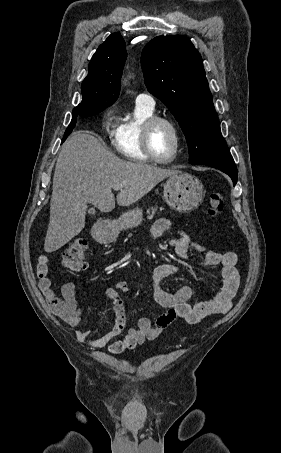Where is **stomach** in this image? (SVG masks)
<instances>
[{
    "label": "stomach",
    "instance_id": "stomach-1",
    "mask_svg": "<svg viewBox=\"0 0 281 453\" xmlns=\"http://www.w3.org/2000/svg\"><path fill=\"white\" fill-rule=\"evenodd\" d=\"M164 198L173 210L178 212H190L192 208H197L202 202L205 192L202 182L197 176L188 172H179L169 176L164 184ZM142 222L141 208L127 210L119 216L118 220H107L96 231V235L101 243H112L123 229H133Z\"/></svg>",
    "mask_w": 281,
    "mask_h": 453
}]
</instances>
